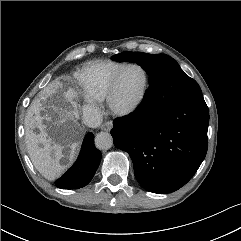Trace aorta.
<instances>
[{"mask_svg":"<svg viewBox=\"0 0 241 241\" xmlns=\"http://www.w3.org/2000/svg\"><path fill=\"white\" fill-rule=\"evenodd\" d=\"M95 145L101 150H108L113 145V138L108 132H100L95 137Z\"/></svg>","mask_w":241,"mask_h":241,"instance_id":"1","label":"aorta"}]
</instances>
